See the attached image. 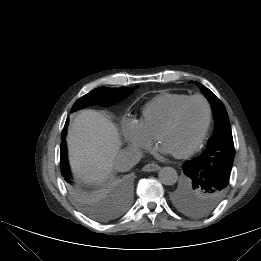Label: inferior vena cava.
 I'll return each mask as SVG.
<instances>
[{
	"label": "inferior vena cava",
	"mask_w": 261,
	"mask_h": 261,
	"mask_svg": "<svg viewBox=\"0 0 261 261\" xmlns=\"http://www.w3.org/2000/svg\"><path fill=\"white\" fill-rule=\"evenodd\" d=\"M142 158L138 149L125 148L120 150L113 161V167L119 172H126L135 166Z\"/></svg>",
	"instance_id": "inferior-vena-cava-1"
}]
</instances>
